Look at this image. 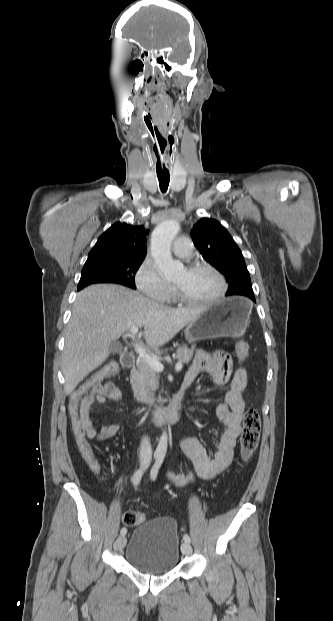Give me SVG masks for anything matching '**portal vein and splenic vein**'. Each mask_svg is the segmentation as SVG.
<instances>
[{"mask_svg":"<svg viewBox=\"0 0 333 621\" xmlns=\"http://www.w3.org/2000/svg\"><path fill=\"white\" fill-rule=\"evenodd\" d=\"M138 327H132L129 330V334L134 337L135 334L138 332ZM135 350L136 352L139 354V356L145 360V362L147 364H149L153 369H155L157 372H161L164 369L163 364L155 357L150 356L149 354H147L145 352V350L138 344L135 343L134 344ZM183 368L182 363H177L175 365V370L176 371H181Z\"/></svg>","mask_w":333,"mask_h":621,"instance_id":"obj_1","label":"portal vein and splenic vein"}]
</instances>
